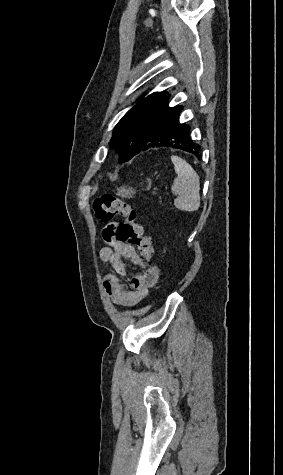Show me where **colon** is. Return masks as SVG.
<instances>
[{
	"instance_id": "obj_1",
	"label": "colon",
	"mask_w": 283,
	"mask_h": 475,
	"mask_svg": "<svg viewBox=\"0 0 283 475\" xmlns=\"http://www.w3.org/2000/svg\"><path fill=\"white\" fill-rule=\"evenodd\" d=\"M93 212L101 224H110L119 217L116 222L120 224L121 231L115 239L135 246L144 262L148 265L152 263L151 237L145 233L137 212L128 202L112 194H103L94 200Z\"/></svg>"
}]
</instances>
